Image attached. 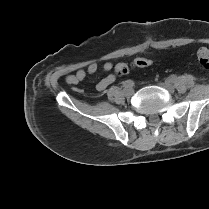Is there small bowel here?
Masks as SVG:
<instances>
[{"instance_id": "1", "label": "small bowel", "mask_w": 209, "mask_h": 209, "mask_svg": "<svg viewBox=\"0 0 209 209\" xmlns=\"http://www.w3.org/2000/svg\"><path fill=\"white\" fill-rule=\"evenodd\" d=\"M109 68H110V65H109V64H106V65H105V69L108 70ZM95 70H96V68H95L94 66H91V67H89L88 72H89V73H94ZM108 81H109V79L103 80V81L100 83L99 88H100V89L104 88V87L106 86V84H107Z\"/></svg>"}]
</instances>
